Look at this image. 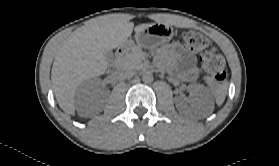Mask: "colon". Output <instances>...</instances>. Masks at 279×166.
<instances>
[{
	"label": "colon",
	"mask_w": 279,
	"mask_h": 166,
	"mask_svg": "<svg viewBox=\"0 0 279 166\" xmlns=\"http://www.w3.org/2000/svg\"><path fill=\"white\" fill-rule=\"evenodd\" d=\"M184 46L196 52H201L200 60L203 68L217 81H224L227 76L224 59L214 49H207L209 40L197 31L187 30L181 35Z\"/></svg>",
	"instance_id": "5ec220e1"
}]
</instances>
